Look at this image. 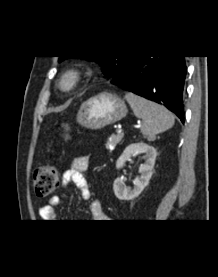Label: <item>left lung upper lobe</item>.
<instances>
[{"mask_svg":"<svg viewBox=\"0 0 218 277\" xmlns=\"http://www.w3.org/2000/svg\"><path fill=\"white\" fill-rule=\"evenodd\" d=\"M65 58L68 57L60 56L59 62H61ZM81 58L99 62L103 66L104 75L111 79L114 75L119 74L126 67L133 56H81Z\"/></svg>","mask_w":218,"mask_h":277,"instance_id":"1","label":"left lung upper lobe"}]
</instances>
